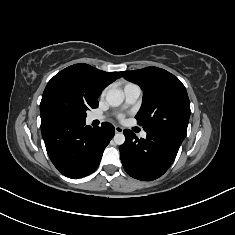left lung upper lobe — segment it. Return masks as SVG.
Returning a JSON list of instances; mask_svg holds the SVG:
<instances>
[{
	"label": "left lung upper lobe",
	"instance_id": "5c2ea615",
	"mask_svg": "<svg viewBox=\"0 0 235 235\" xmlns=\"http://www.w3.org/2000/svg\"><path fill=\"white\" fill-rule=\"evenodd\" d=\"M120 74L143 89L142 106L135 116L146 132L171 134L184 140L190 102L182 82L168 71L147 67Z\"/></svg>",
	"mask_w": 235,
	"mask_h": 235
}]
</instances>
